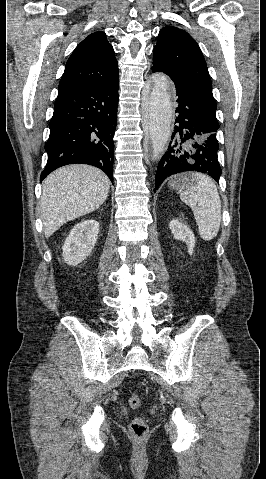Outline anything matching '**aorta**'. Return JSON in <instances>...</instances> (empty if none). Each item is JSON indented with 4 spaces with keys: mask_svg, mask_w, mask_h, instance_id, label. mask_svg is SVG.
<instances>
[{
    "mask_svg": "<svg viewBox=\"0 0 266 479\" xmlns=\"http://www.w3.org/2000/svg\"><path fill=\"white\" fill-rule=\"evenodd\" d=\"M151 80V92L149 96L143 98V118L149 126L153 160H156L163 154L164 147L170 137L173 111L168 77L162 73H155Z\"/></svg>",
    "mask_w": 266,
    "mask_h": 479,
    "instance_id": "aorta-1",
    "label": "aorta"
}]
</instances>
